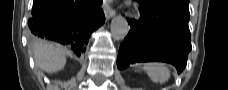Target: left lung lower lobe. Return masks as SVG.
<instances>
[{
    "instance_id": "obj_1",
    "label": "left lung lower lobe",
    "mask_w": 228,
    "mask_h": 90,
    "mask_svg": "<svg viewBox=\"0 0 228 90\" xmlns=\"http://www.w3.org/2000/svg\"><path fill=\"white\" fill-rule=\"evenodd\" d=\"M139 4L141 18L128 19L131 30L119 49L118 69L135 62L163 61L181 73L192 49L189 11L173 8L169 0H139Z\"/></svg>"
}]
</instances>
